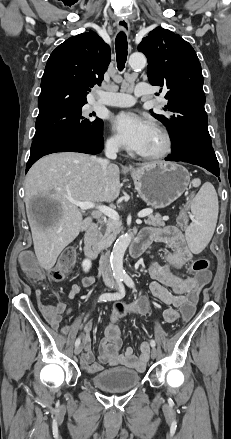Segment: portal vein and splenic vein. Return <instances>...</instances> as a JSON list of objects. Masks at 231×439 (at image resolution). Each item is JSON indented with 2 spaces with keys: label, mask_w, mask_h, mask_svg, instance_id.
<instances>
[{
  "label": "portal vein and splenic vein",
  "mask_w": 231,
  "mask_h": 439,
  "mask_svg": "<svg viewBox=\"0 0 231 439\" xmlns=\"http://www.w3.org/2000/svg\"><path fill=\"white\" fill-rule=\"evenodd\" d=\"M74 205L78 206L81 210H89V209H96L98 213H102L105 216L109 217L111 220L118 221L120 219L119 214L112 208H109L104 205H95L92 202H81V201H75L70 200ZM153 213L152 209H144L138 213L139 218H144L146 216H149Z\"/></svg>",
  "instance_id": "portal-vein-and-splenic-vein-1"
}]
</instances>
